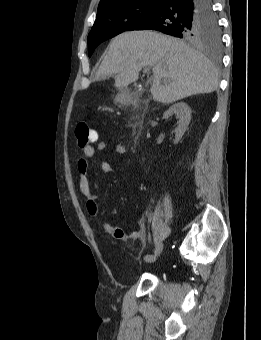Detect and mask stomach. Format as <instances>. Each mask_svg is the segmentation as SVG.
I'll use <instances>...</instances> for the list:
<instances>
[{"instance_id": "stomach-1", "label": "stomach", "mask_w": 261, "mask_h": 340, "mask_svg": "<svg viewBox=\"0 0 261 340\" xmlns=\"http://www.w3.org/2000/svg\"><path fill=\"white\" fill-rule=\"evenodd\" d=\"M124 99V94L120 93L119 95H117L116 97V102H122Z\"/></svg>"}]
</instances>
